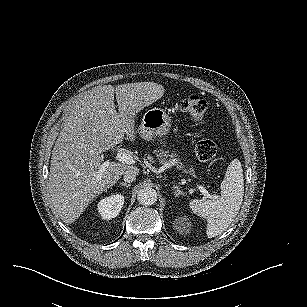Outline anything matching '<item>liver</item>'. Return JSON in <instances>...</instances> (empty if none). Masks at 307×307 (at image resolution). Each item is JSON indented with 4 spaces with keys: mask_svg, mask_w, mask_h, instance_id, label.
I'll return each instance as SVG.
<instances>
[{
    "mask_svg": "<svg viewBox=\"0 0 307 307\" xmlns=\"http://www.w3.org/2000/svg\"><path fill=\"white\" fill-rule=\"evenodd\" d=\"M163 86L153 82L96 86L81 94L56 139L49 171V193L55 215L65 223L74 221L99 193L135 166L107 162L102 152L134 138L132 120L138 111L162 97ZM119 106L117 112L115 99Z\"/></svg>",
    "mask_w": 307,
    "mask_h": 307,
    "instance_id": "liver-1",
    "label": "liver"
}]
</instances>
